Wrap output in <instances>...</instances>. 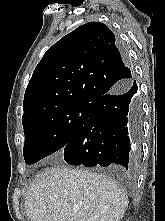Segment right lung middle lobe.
I'll return each mask as SVG.
<instances>
[{
    "mask_svg": "<svg viewBox=\"0 0 165 221\" xmlns=\"http://www.w3.org/2000/svg\"><path fill=\"white\" fill-rule=\"evenodd\" d=\"M91 104L65 105L41 111L23 123L26 164L63 149L90 116Z\"/></svg>",
    "mask_w": 165,
    "mask_h": 221,
    "instance_id": "right-lung-middle-lobe-1",
    "label": "right lung middle lobe"
}]
</instances>
